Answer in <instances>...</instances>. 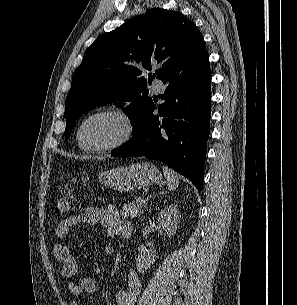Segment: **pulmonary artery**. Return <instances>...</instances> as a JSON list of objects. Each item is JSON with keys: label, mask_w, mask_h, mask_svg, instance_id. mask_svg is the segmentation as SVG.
<instances>
[{"label": "pulmonary artery", "mask_w": 297, "mask_h": 305, "mask_svg": "<svg viewBox=\"0 0 297 305\" xmlns=\"http://www.w3.org/2000/svg\"><path fill=\"white\" fill-rule=\"evenodd\" d=\"M152 86H153V89H155L158 92H161V91L164 90V85H163V83L160 80H155L153 82Z\"/></svg>", "instance_id": "e3ab8cb5"}]
</instances>
